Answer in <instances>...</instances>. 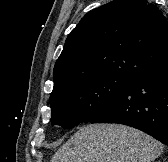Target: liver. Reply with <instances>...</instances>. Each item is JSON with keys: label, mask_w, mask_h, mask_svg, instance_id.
Masks as SVG:
<instances>
[{"label": "liver", "mask_w": 168, "mask_h": 162, "mask_svg": "<svg viewBox=\"0 0 168 162\" xmlns=\"http://www.w3.org/2000/svg\"><path fill=\"white\" fill-rule=\"evenodd\" d=\"M164 150L146 133L121 124H90L80 128L50 162H151Z\"/></svg>", "instance_id": "obj_1"}]
</instances>
